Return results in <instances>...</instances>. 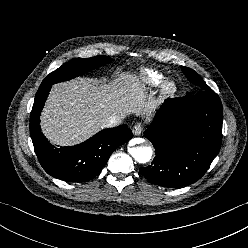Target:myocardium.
Segmentation results:
<instances>
[{
    "label": "myocardium",
    "instance_id": "f54148a6",
    "mask_svg": "<svg viewBox=\"0 0 248 248\" xmlns=\"http://www.w3.org/2000/svg\"><path fill=\"white\" fill-rule=\"evenodd\" d=\"M178 87L175 81L166 80L161 87V93L164 97H172L177 93Z\"/></svg>",
    "mask_w": 248,
    "mask_h": 248
}]
</instances>
